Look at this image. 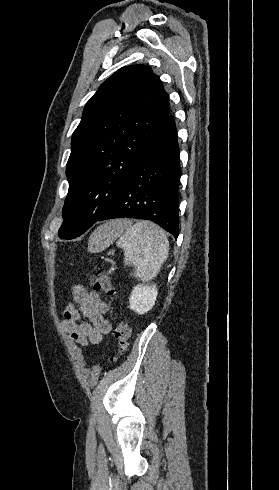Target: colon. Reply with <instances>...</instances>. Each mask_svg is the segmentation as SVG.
Segmentation results:
<instances>
[{
    "label": "colon",
    "instance_id": "colon-1",
    "mask_svg": "<svg viewBox=\"0 0 279 490\" xmlns=\"http://www.w3.org/2000/svg\"><path fill=\"white\" fill-rule=\"evenodd\" d=\"M88 276L95 290L109 296L115 295V288L108 271L95 266L88 273ZM113 334L116 343V352L110 358L111 361L117 360L118 357L126 351L127 346L131 341V329L129 323L127 321L117 323Z\"/></svg>",
    "mask_w": 279,
    "mask_h": 490
}]
</instances>
